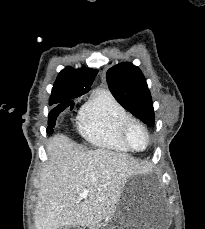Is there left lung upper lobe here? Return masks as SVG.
Returning <instances> with one entry per match:
<instances>
[{
	"mask_svg": "<svg viewBox=\"0 0 205 229\" xmlns=\"http://www.w3.org/2000/svg\"><path fill=\"white\" fill-rule=\"evenodd\" d=\"M109 89L116 100L148 126H154L150 91L141 70L131 63H120L106 74Z\"/></svg>",
	"mask_w": 205,
	"mask_h": 229,
	"instance_id": "obj_1",
	"label": "left lung upper lobe"
}]
</instances>
